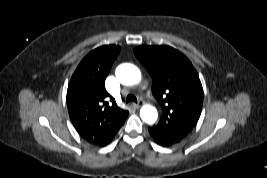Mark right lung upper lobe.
Wrapping results in <instances>:
<instances>
[{
    "label": "right lung upper lobe",
    "mask_w": 267,
    "mask_h": 178,
    "mask_svg": "<svg viewBox=\"0 0 267 178\" xmlns=\"http://www.w3.org/2000/svg\"><path fill=\"white\" fill-rule=\"evenodd\" d=\"M119 52L120 47L116 45L91 51L81 61L68 85L70 119L77 132L91 144H101L114 135L128 116V111L119 108L105 89L106 76Z\"/></svg>",
    "instance_id": "obj_1"
}]
</instances>
